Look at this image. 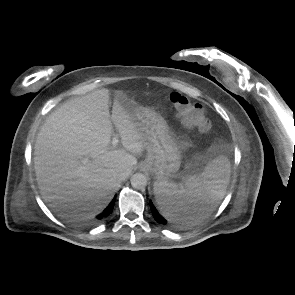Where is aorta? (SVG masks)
Segmentation results:
<instances>
[{
    "mask_svg": "<svg viewBox=\"0 0 295 295\" xmlns=\"http://www.w3.org/2000/svg\"><path fill=\"white\" fill-rule=\"evenodd\" d=\"M131 185L137 190L144 189L147 185V177L142 173H135L131 177Z\"/></svg>",
    "mask_w": 295,
    "mask_h": 295,
    "instance_id": "aorta-1",
    "label": "aorta"
}]
</instances>
